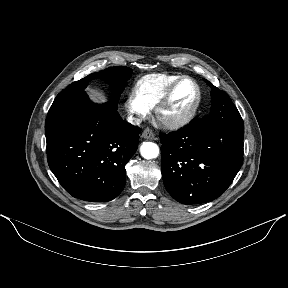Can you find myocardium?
I'll use <instances>...</instances> for the list:
<instances>
[{"label": "myocardium", "mask_w": 288, "mask_h": 288, "mask_svg": "<svg viewBox=\"0 0 288 288\" xmlns=\"http://www.w3.org/2000/svg\"><path fill=\"white\" fill-rule=\"evenodd\" d=\"M185 80L190 81L194 85L196 90L195 98L191 103V105L183 114L173 119H167L164 116L165 110L170 105L173 96L176 92V89ZM201 98H202V92L197 81L190 76H180L177 80H175L171 84V86L168 88V90L166 91L160 102L157 104L156 116L166 127L170 129H180L188 125L193 120L199 109Z\"/></svg>", "instance_id": "f54148a6"}]
</instances>
